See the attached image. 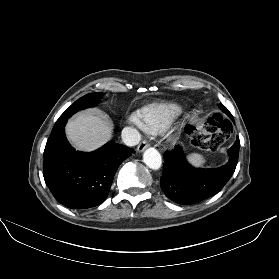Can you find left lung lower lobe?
I'll list each match as a JSON object with an SVG mask.
<instances>
[{
	"label": "left lung lower lobe",
	"instance_id": "0a47b994",
	"mask_svg": "<svg viewBox=\"0 0 279 279\" xmlns=\"http://www.w3.org/2000/svg\"><path fill=\"white\" fill-rule=\"evenodd\" d=\"M240 142L237 137L229 149V161L219 168L196 169L191 167L183 155L182 149L176 146L164 154L163 174L160 186L165 195L172 201L188 205L200 202L218 193L235 171Z\"/></svg>",
	"mask_w": 279,
	"mask_h": 279
}]
</instances>
